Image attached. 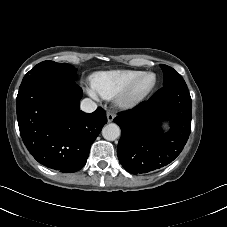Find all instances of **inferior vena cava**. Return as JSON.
<instances>
[{"mask_svg": "<svg viewBox=\"0 0 227 227\" xmlns=\"http://www.w3.org/2000/svg\"><path fill=\"white\" fill-rule=\"evenodd\" d=\"M97 108V104L89 98H85L81 101V110L86 113H92Z\"/></svg>", "mask_w": 227, "mask_h": 227, "instance_id": "1", "label": "inferior vena cava"}]
</instances>
